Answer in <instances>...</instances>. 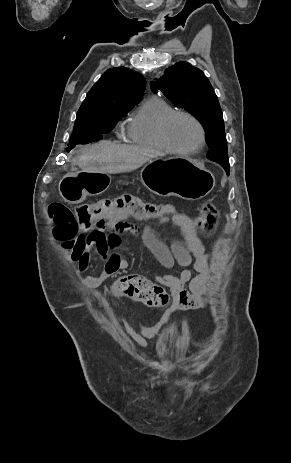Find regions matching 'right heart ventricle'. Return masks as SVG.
Returning <instances> with one entry per match:
<instances>
[{
  "label": "right heart ventricle",
  "mask_w": 291,
  "mask_h": 463,
  "mask_svg": "<svg viewBox=\"0 0 291 463\" xmlns=\"http://www.w3.org/2000/svg\"><path fill=\"white\" fill-rule=\"evenodd\" d=\"M174 111L176 110L160 97L147 98L128 122V140L140 146L166 151L159 137V126L162 120Z\"/></svg>",
  "instance_id": "right-heart-ventricle-1"
}]
</instances>
